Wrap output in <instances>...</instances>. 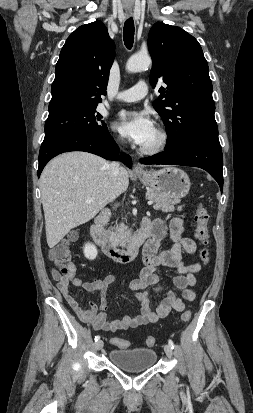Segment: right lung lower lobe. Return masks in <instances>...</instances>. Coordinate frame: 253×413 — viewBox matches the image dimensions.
Segmentation results:
<instances>
[{
    "instance_id": "obj_1",
    "label": "right lung lower lobe",
    "mask_w": 253,
    "mask_h": 413,
    "mask_svg": "<svg viewBox=\"0 0 253 413\" xmlns=\"http://www.w3.org/2000/svg\"><path fill=\"white\" fill-rule=\"evenodd\" d=\"M69 151H85L108 160H118V146L108 130L93 136L58 137L43 141L39 152L38 177L50 159L60 153ZM119 159L131 168L130 156L123 154Z\"/></svg>"
}]
</instances>
